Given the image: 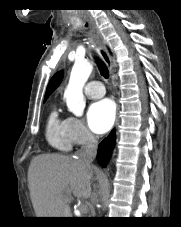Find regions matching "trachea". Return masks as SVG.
I'll use <instances>...</instances> for the list:
<instances>
[{"instance_id":"trachea-1","label":"trachea","mask_w":181,"mask_h":227,"mask_svg":"<svg viewBox=\"0 0 181 227\" xmlns=\"http://www.w3.org/2000/svg\"><path fill=\"white\" fill-rule=\"evenodd\" d=\"M95 59L97 61V65H98V68H99L101 75L105 78H108L109 77V71H108V68L105 65V63L97 57Z\"/></svg>"}]
</instances>
